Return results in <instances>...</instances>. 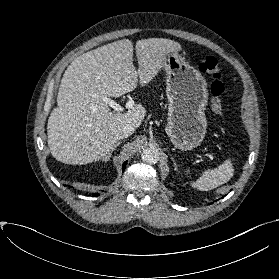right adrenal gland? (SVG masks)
<instances>
[{
  "label": "right adrenal gland",
  "mask_w": 279,
  "mask_h": 279,
  "mask_svg": "<svg viewBox=\"0 0 279 279\" xmlns=\"http://www.w3.org/2000/svg\"><path fill=\"white\" fill-rule=\"evenodd\" d=\"M121 144V141H117V143L114 145V147L112 148V150L108 153V155L103 158V161L104 162H107L109 161L110 157L112 156V153L116 150V148Z\"/></svg>",
  "instance_id": "2a0ac1e0"
}]
</instances>
